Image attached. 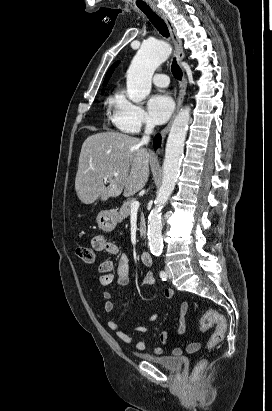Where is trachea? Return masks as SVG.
Masks as SVG:
<instances>
[{
	"label": "trachea",
	"instance_id": "obj_1",
	"mask_svg": "<svg viewBox=\"0 0 272 411\" xmlns=\"http://www.w3.org/2000/svg\"><path fill=\"white\" fill-rule=\"evenodd\" d=\"M138 7L144 14H146V16L149 18L151 23L154 25V27L159 31V33L162 36L169 37L168 27L162 18H160L156 13H154L149 6H138ZM171 71L177 80H181L183 73L175 59L172 62Z\"/></svg>",
	"mask_w": 272,
	"mask_h": 411
}]
</instances>
